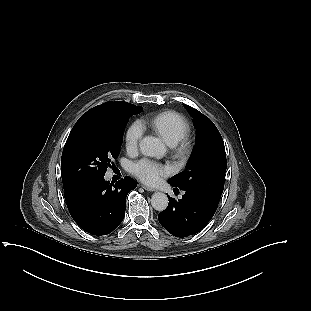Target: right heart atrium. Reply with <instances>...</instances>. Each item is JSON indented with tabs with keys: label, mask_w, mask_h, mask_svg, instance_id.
<instances>
[{
	"label": "right heart atrium",
	"mask_w": 311,
	"mask_h": 311,
	"mask_svg": "<svg viewBox=\"0 0 311 311\" xmlns=\"http://www.w3.org/2000/svg\"><path fill=\"white\" fill-rule=\"evenodd\" d=\"M143 135V129L139 122L135 121L133 122L126 133V143L127 147L130 150H135L138 148V145L140 143V140Z\"/></svg>",
	"instance_id": "d8ad5b80"
}]
</instances>
